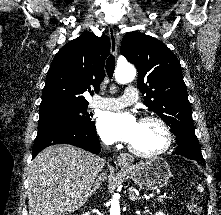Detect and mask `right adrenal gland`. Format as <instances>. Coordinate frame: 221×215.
I'll return each instance as SVG.
<instances>
[{
	"label": "right adrenal gland",
	"instance_id": "1",
	"mask_svg": "<svg viewBox=\"0 0 221 215\" xmlns=\"http://www.w3.org/2000/svg\"><path fill=\"white\" fill-rule=\"evenodd\" d=\"M102 183V176H99L98 179L95 181V184L93 185L92 190L90 191V196L96 192L97 189L100 188V185Z\"/></svg>",
	"mask_w": 221,
	"mask_h": 215
}]
</instances>
